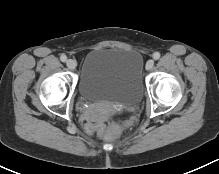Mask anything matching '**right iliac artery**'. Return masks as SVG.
I'll return each instance as SVG.
<instances>
[{
    "label": "right iliac artery",
    "instance_id": "obj_1",
    "mask_svg": "<svg viewBox=\"0 0 219 174\" xmlns=\"http://www.w3.org/2000/svg\"><path fill=\"white\" fill-rule=\"evenodd\" d=\"M60 60H61L62 62H66V60H67L66 55H64V54L61 55Z\"/></svg>",
    "mask_w": 219,
    "mask_h": 174
}]
</instances>
